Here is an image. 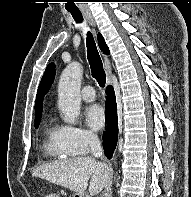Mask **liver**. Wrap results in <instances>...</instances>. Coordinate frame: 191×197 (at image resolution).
<instances>
[{"instance_id":"6515ba94","label":"liver","mask_w":191,"mask_h":197,"mask_svg":"<svg viewBox=\"0 0 191 197\" xmlns=\"http://www.w3.org/2000/svg\"><path fill=\"white\" fill-rule=\"evenodd\" d=\"M32 176L46 179L80 195L89 184V193L95 196L106 187L111 167L92 157H77L43 164L33 170Z\"/></svg>"}]
</instances>
